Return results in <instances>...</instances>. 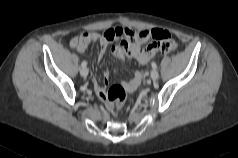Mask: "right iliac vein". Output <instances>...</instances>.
Wrapping results in <instances>:
<instances>
[{"label": "right iliac vein", "mask_w": 238, "mask_h": 158, "mask_svg": "<svg viewBox=\"0 0 238 158\" xmlns=\"http://www.w3.org/2000/svg\"><path fill=\"white\" fill-rule=\"evenodd\" d=\"M89 71H88V68L87 67H83L81 70H80V74L83 76V77H87Z\"/></svg>", "instance_id": "obj_1"}]
</instances>
